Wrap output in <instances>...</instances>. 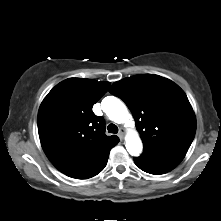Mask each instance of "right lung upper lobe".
Returning a JSON list of instances; mask_svg holds the SVG:
<instances>
[{
    "mask_svg": "<svg viewBox=\"0 0 221 221\" xmlns=\"http://www.w3.org/2000/svg\"><path fill=\"white\" fill-rule=\"evenodd\" d=\"M109 86L110 82L69 78L56 85L41 103V145L64 174L93 164L119 142L117 136L105 135L103 118L92 111Z\"/></svg>",
    "mask_w": 221,
    "mask_h": 221,
    "instance_id": "obj_1",
    "label": "right lung upper lobe"
}]
</instances>
